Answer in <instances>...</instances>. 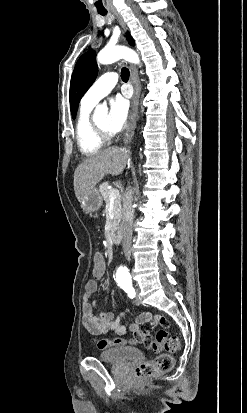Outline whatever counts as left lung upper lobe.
Listing matches in <instances>:
<instances>
[{
  "mask_svg": "<svg viewBox=\"0 0 247 413\" xmlns=\"http://www.w3.org/2000/svg\"><path fill=\"white\" fill-rule=\"evenodd\" d=\"M127 40L130 45H135L134 40L129 33H127ZM97 73L96 53L93 50L88 51L77 61L71 77L70 107L73 118H75L78 104L82 96L95 81Z\"/></svg>",
  "mask_w": 247,
  "mask_h": 413,
  "instance_id": "obj_1",
  "label": "left lung upper lobe"
}]
</instances>
